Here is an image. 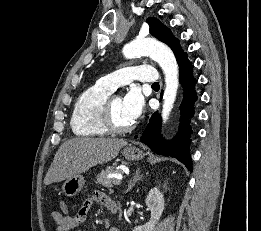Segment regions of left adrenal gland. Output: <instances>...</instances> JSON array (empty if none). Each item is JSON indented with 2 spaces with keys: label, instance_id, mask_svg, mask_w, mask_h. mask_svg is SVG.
I'll use <instances>...</instances> for the list:
<instances>
[{
  "label": "left adrenal gland",
  "instance_id": "left-adrenal-gland-1",
  "mask_svg": "<svg viewBox=\"0 0 261 231\" xmlns=\"http://www.w3.org/2000/svg\"><path fill=\"white\" fill-rule=\"evenodd\" d=\"M142 178H143V175H140V169L138 168V169L136 170V173H135L134 177H133V180H131V181L129 182V185H128V188H127V190H126V193L129 192V191L135 186V184H136L138 181L142 180Z\"/></svg>",
  "mask_w": 261,
  "mask_h": 231
}]
</instances>
